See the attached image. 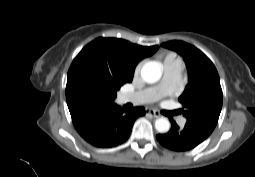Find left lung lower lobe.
I'll return each instance as SVG.
<instances>
[{
  "mask_svg": "<svg viewBox=\"0 0 255 177\" xmlns=\"http://www.w3.org/2000/svg\"><path fill=\"white\" fill-rule=\"evenodd\" d=\"M209 135V133L188 124L183 128H179L174 121H171L170 131L166 134H158L156 138L162 146L180 152L195 148Z\"/></svg>",
  "mask_w": 255,
  "mask_h": 177,
  "instance_id": "1",
  "label": "left lung lower lobe"
}]
</instances>
